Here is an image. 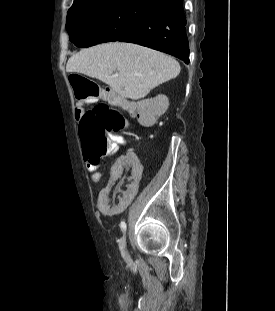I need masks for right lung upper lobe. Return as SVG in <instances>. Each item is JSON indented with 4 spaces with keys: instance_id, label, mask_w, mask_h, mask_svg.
<instances>
[{
    "instance_id": "1",
    "label": "right lung upper lobe",
    "mask_w": 275,
    "mask_h": 311,
    "mask_svg": "<svg viewBox=\"0 0 275 311\" xmlns=\"http://www.w3.org/2000/svg\"><path fill=\"white\" fill-rule=\"evenodd\" d=\"M79 1H83V0H74V2H79ZM160 1L161 3H166V2H169L171 0H158Z\"/></svg>"
}]
</instances>
